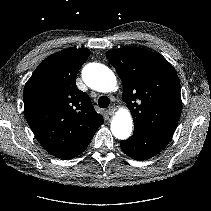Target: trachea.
Returning a JSON list of instances; mask_svg holds the SVG:
<instances>
[{"instance_id": "obj_1", "label": "trachea", "mask_w": 211, "mask_h": 211, "mask_svg": "<svg viewBox=\"0 0 211 211\" xmlns=\"http://www.w3.org/2000/svg\"><path fill=\"white\" fill-rule=\"evenodd\" d=\"M110 104V100L108 97L106 96H101L99 97L98 99V105L101 107V108H107Z\"/></svg>"}]
</instances>
